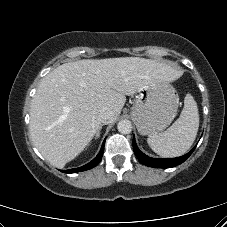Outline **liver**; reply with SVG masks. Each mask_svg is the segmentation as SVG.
Masks as SVG:
<instances>
[{
	"label": "liver",
	"mask_w": 227,
	"mask_h": 227,
	"mask_svg": "<svg viewBox=\"0 0 227 227\" xmlns=\"http://www.w3.org/2000/svg\"><path fill=\"white\" fill-rule=\"evenodd\" d=\"M179 72L165 63L139 57L84 59L62 64L47 74L30 109L34 145L53 166L76 158L101 128L100 112L114 122L126 102L155 81H174Z\"/></svg>",
	"instance_id": "6515ba94"
}]
</instances>
